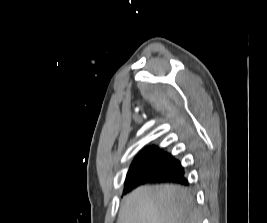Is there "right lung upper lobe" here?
I'll list each match as a JSON object with an SVG mask.
<instances>
[{
  "instance_id": "cb5924a9",
  "label": "right lung upper lobe",
  "mask_w": 267,
  "mask_h": 223,
  "mask_svg": "<svg viewBox=\"0 0 267 223\" xmlns=\"http://www.w3.org/2000/svg\"><path fill=\"white\" fill-rule=\"evenodd\" d=\"M159 153L161 152L157 147H148L135 158L133 164L149 160Z\"/></svg>"
}]
</instances>
